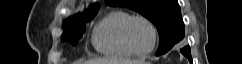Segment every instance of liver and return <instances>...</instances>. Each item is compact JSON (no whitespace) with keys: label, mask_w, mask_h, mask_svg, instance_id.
<instances>
[{"label":"liver","mask_w":242,"mask_h":64,"mask_svg":"<svg viewBox=\"0 0 242 64\" xmlns=\"http://www.w3.org/2000/svg\"><path fill=\"white\" fill-rule=\"evenodd\" d=\"M141 60H115V59H93L86 61L84 64H138Z\"/></svg>","instance_id":"obj_1"}]
</instances>
